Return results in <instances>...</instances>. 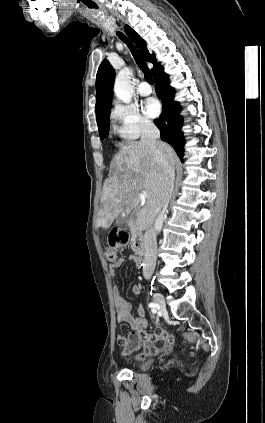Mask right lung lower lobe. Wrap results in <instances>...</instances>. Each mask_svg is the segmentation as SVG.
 I'll return each mask as SVG.
<instances>
[{
  "label": "right lung lower lobe",
  "instance_id": "right-lung-lower-lobe-1",
  "mask_svg": "<svg viewBox=\"0 0 265 423\" xmlns=\"http://www.w3.org/2000/svg\"><path fill=\"white\" fill-rule=\"evenodd\" d=\"M155 91L162 100V114L154 121L161 132V139L169 143L181 160L184 153V136L181 131L183 118L179 115L181 107L174 101L175 90L170 86L169 77L160 66L153 74Z\"/></svg>",
  "mask_w": 265,
  "mask_h": 423
}]
</instances>
